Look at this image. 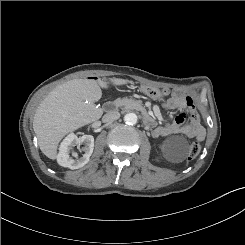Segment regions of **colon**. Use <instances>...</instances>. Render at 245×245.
I'll return each instance as SVG.
<instances>
[{
  "mask_svg": "<svg viewBox=\"0 0 245 245\" xmlns=\"http://www.w3.org/2000/svg\"><path fill=\"white\" fill-rule=\"evenodd\" d=\"M143 93H145L147 96L154 98V99H163L167 97L170 93L169 89L166 88H156L152 86H143L142 87ZM201 151V147L198 143H193L188 152V159L192 160L196 158Z\"/></svg>",
  "mask_w": 245,
  "mask_h": 245,
  "instance_id": "obj_1",
  "label": "colon"
}]
</instances>
